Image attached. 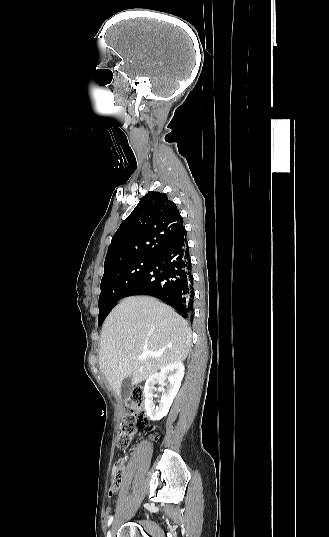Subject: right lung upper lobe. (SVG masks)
Here are the masks:
<instances>
[{
    "label": "right lung upper lobe",
    "mask_w": 329,
    "mask_h": 537,
    "mask_svg": "<svg viewBox=\"0 0 329 537\" xmlns=\"http://www.w3.org/2000/svg\"><path fill=\"white\" fill-rule=\"evenodd\" d=\"M183 219L166 194L149 192L113 235L104 270L124 263L153 258L185 233Z\"/></svg>",
    "instance_id": "obj_1"
}]
</instances>
